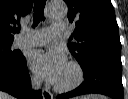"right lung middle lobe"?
Instances as JSON below:
<instances>
[{"instance_id":"dd1d6c3e","label":"right lung middle lobe","mask_w":128,"mask_h":99,"mask_svg":"<svg viewBox=\"0 0 128 99\" xmlns=\"http://www.w3.org/2000/svg\"><path fill=\"white\" fill-rule=\"evenodd\" d=\"M12 42L0 43V62L11 64L16 62L21 54L16 51H11Z\"/></svg>"}]
</instances>
